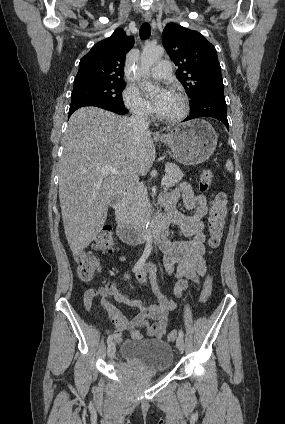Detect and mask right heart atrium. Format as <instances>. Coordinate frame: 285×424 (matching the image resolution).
Returning <instances> with one entry per match:
<instances>
[{
	"instance_id": "d8ad5b80",
	"label": "right heart atrium",
	"mask_w": 285,
	"mask_h": 424,
	"mask_svg": "<svg viewBox=\"0 0 285 424\" xmlns=\"http://www.w3.org/2000/svg\"><path fill=\"white\" fill-rule=\"evenodd\" d=\"M123 100L129 111L141 118H147L151 114V106L143 97L138 87L128 85L123 92Z\"/></svg>"
}]
</instances>
